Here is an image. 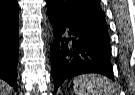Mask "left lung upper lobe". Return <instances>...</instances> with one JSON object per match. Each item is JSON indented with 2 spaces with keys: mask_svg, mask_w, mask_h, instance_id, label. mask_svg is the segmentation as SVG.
Instances as JSON below:
<instances>
[{
  "mask_svg": "<svg viewBox=\"0 0 135 95\" xmlns=\"http://www.w3.org/2000/svg\"><path fill=\"white\" fill-rule=\"evenodd\" d=\"M47 7L73 21L107 29L99 0H47Z\"/></svg>",
  "mask_w": 135,
  "mask_h": 95,
  "instance_id": "obj_1",
  "label": "left lung upper lobe"
}]
</instances>
